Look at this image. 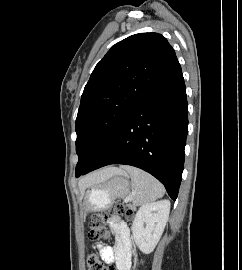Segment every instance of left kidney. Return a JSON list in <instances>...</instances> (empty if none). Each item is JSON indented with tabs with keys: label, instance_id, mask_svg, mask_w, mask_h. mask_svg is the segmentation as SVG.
I'll return each mask as SVG.
<instances>
[{
	"label": "left kidney",
	"instance_id": "1",
	"mask_svg": "<svg viewBox=\"0 0 242 270\" xmlns=\"http://www.w3.org/2000/svg\"><path fill=\"white\" fill-rule=\"evenodd\" d=\"M169 212L168 200L145 204L137 211L132 225V235L142 253L150 254L155 249L168 221Z\"/></svg>",
	"mask_w": 242,
	"mask_h": 270
}]
</instances>
